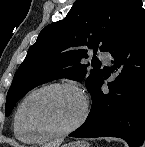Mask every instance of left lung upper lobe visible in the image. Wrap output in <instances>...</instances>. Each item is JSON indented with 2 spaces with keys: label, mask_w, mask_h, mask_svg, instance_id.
<instances>
[{
  "label": "left lung upper lobe",
  "mask_w": 145,
  "mask_h": 147,
  "mask_svg": "<svg viewBox=\"0 0 145 147\" xmlns=\"http://www.w3.org/2000/svg\"><path fill=\"white\" fill-rule=\"evenodd\" d=\"M130 1L76 0L63 20L46 26L15 73L7 94L5 115L9 116L17 101L38 85L58 78L83 80L88 67L87 48H95L96 52L100 44L101 51L109 50ZM102 76L101 69L90 71L86 87L91 95Z\"/></svg>",
  "instance_id": "5c2ea615"
}]
</instances>
